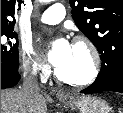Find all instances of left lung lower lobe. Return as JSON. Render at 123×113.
Masks as SVG:
<instances>
[{
    "instance_id": "0a47b994",
    "label": "left lung lower lobe",
    "mask_w": 123,
    "mask_h": 113,
    "mask_svg": "<svg viewBox=\"0 0 123 113\" xmlns=\"http://www.w3.org/2000/svg\"><path fill=\"white\" fill-rule=\"evenodd\" d=\"M103 91H114L123 93V67L118 68L116 76L109 82L96 78L95 82L81 91L85 94L100 93Z\"/></svg>"
}]
</instances>
